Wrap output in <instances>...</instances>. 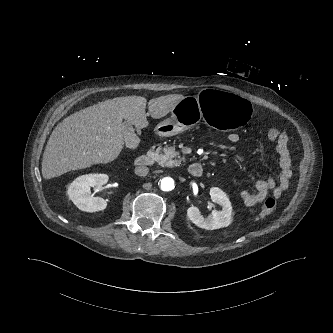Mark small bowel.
<instances>
[{
    "label": "small bowel",
    "mask_w": 333,
    "mask_h": 333,
    "mask_svg": "<svg viewBox=\"0 0 333 333\" xmlns=\"http://www.w3.org/2000/svg\"><path fill=\"white\" fill-rule=\"evenodd\" d=\"M239 140L240 137L237 133L231 132L228 134V141L231 144H236ZM272 141L276 142V151L279 156V179L276 181L273 177H269L261 180L250 176L253 180L254 190H242L240 193L246 206H254L262 203L269 194H272L275 198H279L289 187L290 179L292 177V169L288 135L285 131H279L278 137Z\"/></svg>",
    "instance_id": "c3829d8e"
}]
</instances>
